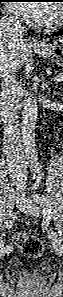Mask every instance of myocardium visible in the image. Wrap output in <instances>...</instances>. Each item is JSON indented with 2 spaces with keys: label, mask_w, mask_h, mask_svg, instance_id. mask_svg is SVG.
<instances>
[{
  "label": "myocardium",
  "mask_w": 63,
  "mask_h": 297,
  "mask_svg": "<svg viewBox=\"0 0 63 297\" xmlns=\"http://www.w3.org/2000/svg\"><path fill=\"white\" fill-rule=\"evenodd\" d=\"M57 10H58V15L56 20L52 21V22H47V23H43L40 24V26L44 29L47 30H54L56 28H58L61 23H62V18H63V11H62V6H56Z\"/></svg>",
  "instance_id": "myocardium-1"
}]
</instances>
